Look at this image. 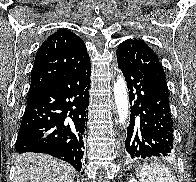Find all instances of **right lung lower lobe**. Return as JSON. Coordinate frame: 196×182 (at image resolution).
I'll use <instances>...</instances> for the list:
<instances>
[{
  "label": "right lung lower lobe",
  "instance_id": "1",
  "mask_svg": "<svg viewBox=\"0 0 196 182\" xmlns=\"http://www.w3.org/2000/svg\"><path fill=\"white\" fill-rule=\"evenodd\" d=\"M90 75L86 58L27 100L15 144L17 153H46L81 171Z\"/></svg>",
  "mask_w": 196,
  "mask_h": 182
}]
</instances>
